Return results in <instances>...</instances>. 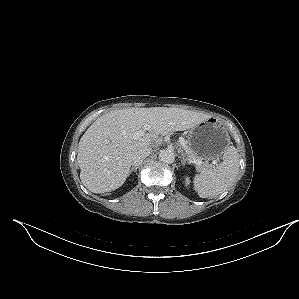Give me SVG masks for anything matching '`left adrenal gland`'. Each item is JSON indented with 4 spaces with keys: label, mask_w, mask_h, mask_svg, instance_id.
Segmentation results:
<instances>
[{
    "label": "left adrenal gland",
    "mask_w": 299,
    "mask_h": 299,
    "mask_svg": "<svg viewBox=\"0 0 299 299\" xmlns=\"http://www.w3.org/2000/svg\"><path fill=\"white\" fill-rule=\"evenodd\" d=\"M181 164L182 166H185V164H189L190 165V162L187 160V158H185V155L183 153H181Z\"/></svg>",
    "instance_id": "a2214340"
}]
</instances>
